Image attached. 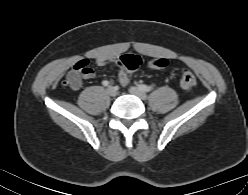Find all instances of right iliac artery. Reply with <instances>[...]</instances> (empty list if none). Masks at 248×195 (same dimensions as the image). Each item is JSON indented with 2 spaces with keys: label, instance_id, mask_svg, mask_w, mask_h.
I'll use <instances>...</instances> for the list:
<instances>
[{
  "label": "right iliac artery",
  "instance_id": "right-iliac-artery-1",
  "mask_svg": "<svg viewBox=\"0 0 248 195\" xmlns=\"http://www.w3.org/2000/svg\"><path fill=\"white\" fill-rule=\"evenodd\" d=\"M102 84H103V86H108V85H109V82H108L107 80H104V81L102 82Z\"/></svg>",
  "mask_w": 248,
  "mask_h": 195
}]
</instances>
